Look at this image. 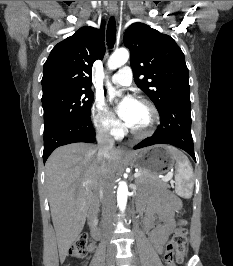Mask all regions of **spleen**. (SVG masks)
<instances>
[{"mask_svg": "<svg viewBox=\"0 0 233 266\" xmlns=\"http://www.w3.org/2000/svg\"><path fill=\"white\" fill-rule=\"evenodd\" d=\"M170 150L176 160V193L181 197L190 198L194 186L192 165L181 151L171 147Z\"/></svg>", "mask_w": 233, "mask_h": 266, "instance_id": "obj_1", "label": "spleen"}]
</instances>
